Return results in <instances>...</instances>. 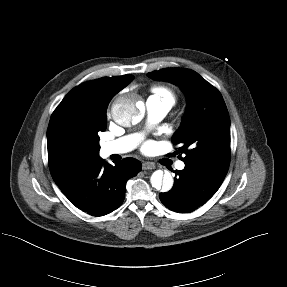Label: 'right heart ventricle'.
I'll list each match as a JSON object with an SVG mask.
<instances>
[{
    "instance_id": "right-heart-ventricle-1",
    "label": "right heart ventricle",
    "mask_w": 287,
    "mask_h": 287,
    "mask_svg": "<svg viewBox=\"0 0 287 287\" xmlns=\"http://www.w3.org/2000/svg\"><path fill=\"white\" fill-rule=\"evenodd\" d=\"M151 91H152L151 97H154L160 100H166L172 104L175 103L176 95L173 89H171L170 87L158 85V86L152 87Z\"/></svg>"
}]
</instances>
